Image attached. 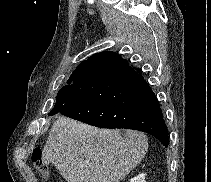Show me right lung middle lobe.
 I'll return each mask as SVG.
<instances>
[{"label": "right lung middle lobe", "instance_id": "right-lung-middle-lobe-1", "mask_svg": "<svg viewBox=\"0 0 211 182\" xmlns=\"http://www.w3.org/2000/svg\"><path fill=\"white\" fill-rule=\"evenodd\" d=\"M82 71V67L81 66H78L75 71L72 73V75L70 76L69 80L67 81L68 85L62 87L58 94H57V98L56 100L59 101L61 99H64L66 98L70 92L75 88V85H76V82H77V79L80 75ZM56 101V102H57ZM56 105V104H55ZM53 112H54V108L53 110L50 112V115H53Z\"/></svg>", "mask_w": 211, "mask_h": 182}]
</instances>
